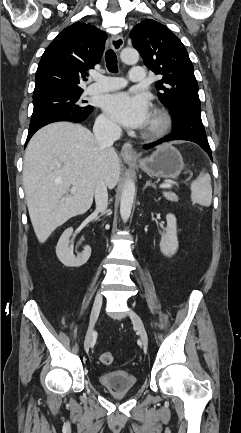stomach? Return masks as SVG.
I'll return each mask as SVG.
<instances>
[{"label":"stomach","instance_id":"stomach-1","mask_svg":"<svg viewBox=\"0 0 241 433\" xmlns=\"http://www.w3.org/2000/svg\"><path fill=\"white\" fill-rule=\"evenodd\" d=\"M138 166L151 177L175 179L181 173L184 163L180 152L171 144L159 146L150 157L141 159L138 163L127 162Z\"/></svg>","mask_w":241,"mask_h":433}]
</instances>
